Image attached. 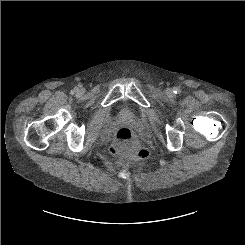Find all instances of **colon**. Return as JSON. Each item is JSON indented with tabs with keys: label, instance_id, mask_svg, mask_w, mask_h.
<instances>
[{
	"label": "colon",
	"instance_id": "1",
	"mask_svg": "<svg viewBox=\"0 0 245 245\" xmlns=\"http://www.w3.org/2000/svg\"><path fill=\"white\" fill-rule=\"evenodd\" d=\"M110 150L115 155L126 154L136 158H145L148 155L147 149L136 143L132 131L128 128L117 131Z\"/></svg>",
	"mask_w": 245,
	"mask_h": 245
}]
</instances>
